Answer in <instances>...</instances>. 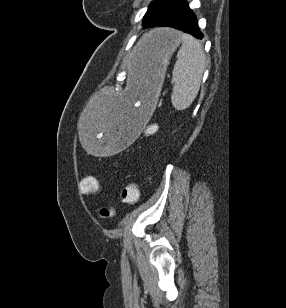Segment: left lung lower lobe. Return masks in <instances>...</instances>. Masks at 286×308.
Masks as SVG:
<instances>
[{"label": "left lung lower lobe", "mask_w": 286, "mask_h": 308, "mask_svg": "<svg viewBox=\"0 0 286 308\" xmlns=\"http://www.w3.org/2000/svg\"><path fill=\"white\" fill-rule=\"evenodd\" d=\"M153 26H169L180 29L196 38L203 37L197 19L185 0H172L147 28Z\"/></svg>", "instance_id": "obj_1"}]
</instances>
